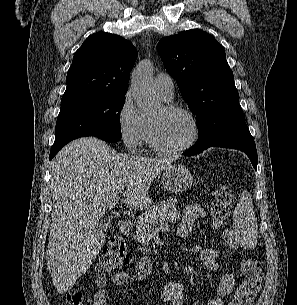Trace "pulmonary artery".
Returning <instances> with one entry per match:
<instances>
[{"mask_svg":"<svg viewBox=\"0 0 297 305\" xmlns=\"http://www.w3.org/2000/svg\"><path fill=\"white\" fill-rule=\"evenodd\" d=\"M154 87L157 93L166 101L172 99L174 94V83L170 75L159 73L154 79Z\"/></svg>","mask_w":297,"mask_h":305,"instance_id":"e3ab8cb5","label":"pulmonary artery"}]
</instances>
